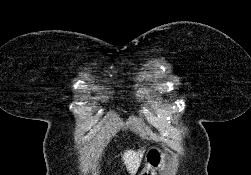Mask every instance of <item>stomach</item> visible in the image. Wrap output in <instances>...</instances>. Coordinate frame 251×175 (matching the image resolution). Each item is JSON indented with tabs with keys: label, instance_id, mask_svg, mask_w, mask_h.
<instances>
[{
	"label": "stomach",
	"instance_id": "0dacf381",
	"mask_svg": "<svg viewBox=\"0 0 251 175\" xmlns=\"http://www.w3.org/2000/svg\"><path fill=\"white\" fill-rule=\"evenodd\" d=\"M168 157L159 145H151L145 155V165L140 175H155L157 169H165Z\"/></svg>",
	"mask_w": 251,
	"mask_h": 175
}]
</instances>
